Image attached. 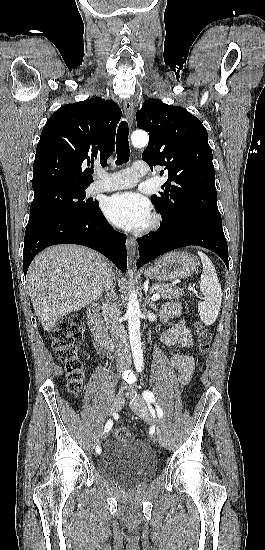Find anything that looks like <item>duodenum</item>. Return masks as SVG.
<instances>
[{
    "instance_id": "1",
    "label": "duodenum",
    "mask_w": 265,
    "mask_h": 550,
    "mask_svg": "<svg viewBox=\"0 0 265 550\" xmlns=\"http://www.w3.org/2000/svg\"><path fill=\"white\" fill-rule=\"evenodd\" d=\"M88 323L98 346L102 349L112 348V340L99 317V306L97 304L91 305L88 309Z\"/></svg>"
}]
</instances>
